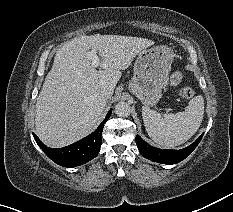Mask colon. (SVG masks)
<instances>
[{
  "label": "colon",
  "instance_id": "colon-1",
  "mask_svg": "<svg viewBox=\"0 0 233 212\" xmlns=\"http://www.w3.org/2000/svg\"><path fill=\"white\" fill-rule=\"evenodd\" d=\"M184 74L180 71H176L171 75L170 78V84L173 87H177L183 80ZM178 94L185 98V99H191L195 95V91L190 87H182L178 89Z\"/></svg>",
  "mask_w": 233,
  "mask_h": 212
}]
</instances>
